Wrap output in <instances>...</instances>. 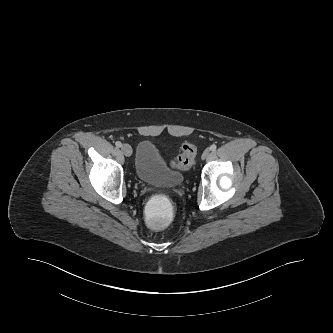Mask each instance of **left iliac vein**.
<instances>
[{
  "label": "left iliac vein",
  "mask_w": 333,
  "mask_h": 333,
  "mask_svg": "<svg viewBox=\"0 0 333 333\" xmlns=\"http://www.w3.org/2000/svg\"><path fill=\"white\" fill-rule=\"evenodd\" d=\"M209 155H210V150L206 149L202 154V159L208 158Z\"/></svg>",
  "instance_id": "1"
}]
</instances>
